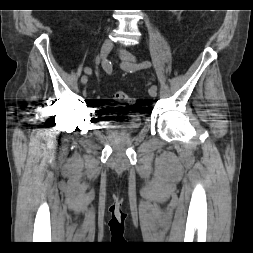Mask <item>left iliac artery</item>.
I'll use <instances>...</instances> for the list:
<instances>
[{
  "label": "left iliac artery",
  "instance_id": "obj_1",
  "mask_svg": "<svg viewBox=\"0 0 253 253\" xmlns=\"http://www.w3.org/2000/svg\"><path fill=\"white\" fill-rule=\"evenodd\" d=\"M151 67V62L150 61H143L142 63L140 64H134V65H131L130 66V70L133 71V70H137V69H145V68H149ZM153 87H156V85H153Z\"/></svg>",
  "mask_w": 253,
  "mask_h": 253
}]
</instances>
